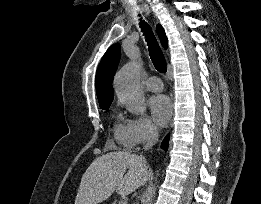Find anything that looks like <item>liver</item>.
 Masks as SVG:
<instances>
[{
    "label": "liver",
    "mask_w": 261,
    "mask_h": 204,
    "mask_svg": "<svg viewBox=\"0 0 261 204\" xmlns=\"http://www.w3.org/2000/svg\"><path fill=\"white\" fill-rule=\"evenodd\" d=\"M150 175L146 163L136 154L126 151L104 154L97 157L83 174L75 204L101 203L115 190L119 195H129Z\"/></svg>",
    "instance_id": "obj_1"
}]
</instances>
